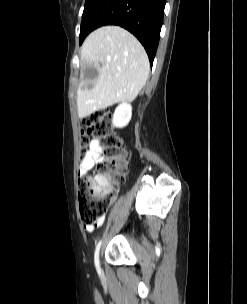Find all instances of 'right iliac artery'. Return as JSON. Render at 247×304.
Returning a JSON list of instances; mask_svg holds the SVG:
<instances>
[{
  "label": "right iliac artery",
  "instance_id": "obj_1",
  "mask_svg": "<svg viewBox=\"0 0 247 304\" xmlns=\"http://www.w3.org/2000/svg\"><path fill=\"white\" fill-rule=\"evenodd\" d=\"M101 243L102 241L100 240L96 246V249H95V254H94V262H95V266H96V269L98 271V273L100 274V263H99V250H100V247H101Z\"/></svg>",
  "mask_w": 247,
  "mask_h": 304
}]
</instances>
